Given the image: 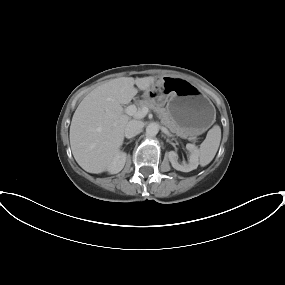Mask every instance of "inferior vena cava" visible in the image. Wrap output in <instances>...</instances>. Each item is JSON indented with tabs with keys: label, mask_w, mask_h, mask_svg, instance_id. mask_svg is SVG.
I'll list each match as a JSON object with an SVG mask.
<instances>
[{
	"label": "inferior vena cava",
	"mask_w": 285,
	"mask_h": 285,
	"mask_svg": "<svg viewBox=\"0 0 285 285\" xmlns=\"http://www.w3.org/2000/svg\"><path fill=\"white\" fill-rule=\"evenodd\" d=\"M142 128H143V122L138 120L129 121L124 131L126 138H132L136 136L142 131Z\"/></svg>",
	"instance_id": "602c4592"
}]
</instances>
